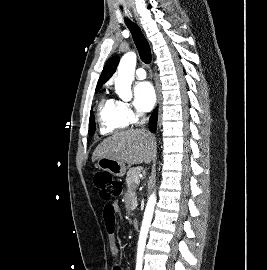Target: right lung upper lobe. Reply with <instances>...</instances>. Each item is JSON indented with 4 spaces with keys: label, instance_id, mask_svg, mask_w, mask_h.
I'll list each match as a JSON object with an SVG mask.
<instances>
[{
    "label": "right lung upper lobe",
    "instance_id": "obj_1",
    "mask_svg": "<svg viewBox=\"0 0 267 270\" xmlns=\"http://www.w3.org/2000/svg\"><path fill=\"white\" fill-rule=\"evenodd\" d=\"M119 61V56H113L107 61L99 78L96 90H99L102 85L105 84L109 80V78L115 73Z\"/></svg>",
    "mask_w": 267,
    "mask_h": 270
}]
</instances>
